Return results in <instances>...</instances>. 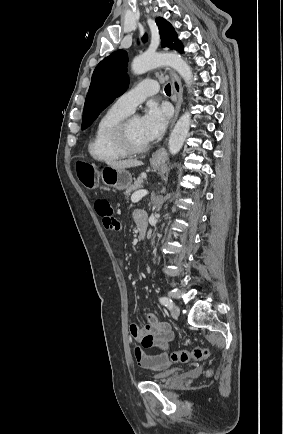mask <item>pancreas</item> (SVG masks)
Masks as SVG:
<instances>
[{
  "label": "pancreas",
  "mask_w": 283,
  "mask_h": 434,
  "mask_svg": "<svg viewBox=\"0 0 283 434\" xmlns=\"http://www.w3.org/2000/svg\"><path fill=\"white\" fill-rule=\"evenodd\" d=\"M142 186H143V179H142V178H138V179L134 182V184L130 185V186L126 189V191H125V193H124L125 197L128 199L132 191H136V190L140 189Z\"/></svg>",
  "instance_id": "obj_1"
}]
</instances>
